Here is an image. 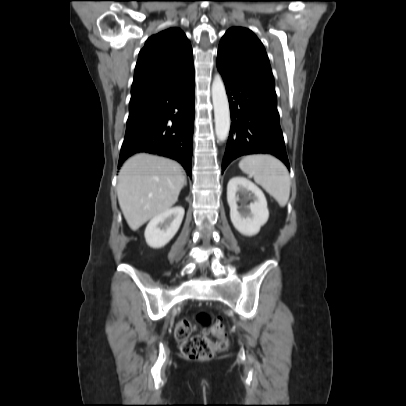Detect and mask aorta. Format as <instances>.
<instances>
[{"label": "aorta", "instance_id": "obj_1", "mask_svg": "<svg viewBox=\"0 0 406 406\" xmlns=\"http://www.w3.org/2000/svg\"><path fill=\"white\" fill-rule=\"evenodd\" d=\"M215 133L218 141H225L230 130V109L224 82L218 74L212 83Z\"/></svg>", "mask_w": 406, "mask_h": 406}]
</instances>
